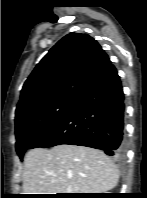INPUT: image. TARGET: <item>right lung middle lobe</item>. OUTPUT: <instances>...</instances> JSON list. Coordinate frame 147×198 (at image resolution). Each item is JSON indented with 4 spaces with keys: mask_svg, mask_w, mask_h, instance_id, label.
<instances>
[{
    "mask_svg": "<svg viewBox=\"0 0 147 198\" xmlns=\"http://www.w3.org/2000/svg\"><path fill=\"white\" fill-rule=\"evenodd\" d=\"M75 100H56L40 105L15 119L16 151L20 159L27 149L47 134L72 108Z\"/></svg>",
    "mask_w": 147,
    "mask_h": 198,
    "instance_id": "1",
    "label": "right lung middle lobe"
}]
</instances>
